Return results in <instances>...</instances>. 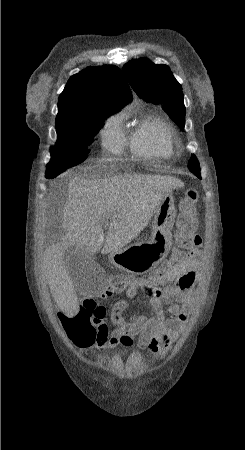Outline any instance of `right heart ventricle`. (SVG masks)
<instances>
[{
    "mask_svg": "<svg viewBox=\"0 0 245 450\" xmlns=\"http://www.w3.org/2000/svg\"><path fill=\"white\" fill-rule=\"evenodd\" d=\"M127 144L134 154L142 157H169L173 149L166 125L156 116L144 118L130 134Z\"/></svg>",
    "mask_w": 245,
    "mask_h": 450,
    "instance_id": "right-heart-ventricle-1",
    "label": "right heart ventricle"
}]
</instances>
